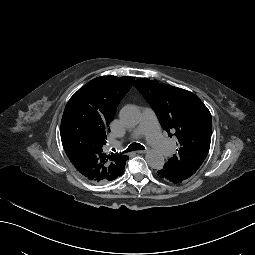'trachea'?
<instances>
[{"label":"trachea","mask_w":255,"mask_h":255,"mask_svg":"<svg viewBox=\"0 0 255 255\" xmlns=\"http://www.w3.org/2000/svg\"><path fill=\"white\" fill-rule=\"evenodd\" d=\"M144 149H145L144 146H142L140 144H137V143H133L126 150H124L121 153H128V152H132V151H135V150H144ZM112 150L116 151L115 149H112Z\"/></svg>","instance_id":"1"}]
</instances>
